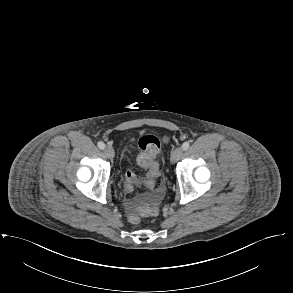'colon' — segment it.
<instances>
[{
  "label": "colon",
  "instance_id": "colon-1",
  "mask_svg": "<svg viewBox=\"0 0 293 293\" xmlns=\"http://www.w3.org/2000/svg\"><path fill=\"white\" fill-rule=\"evenodd\" d=\"M139 145L142 149V153L138 157L139 164L148 170L146 177L144 178V182L147 185H152L155 181V178L158 176V164L156 162V158L161 149L160 140L152 134H144L141 136L139 140ZM137 182L136 176L132 172L126 173V183L125 186L133 187ZM149 198H157L156 194L148 195ZM156 206H153L146 210L148 213H154L156 211ZM144 211L134 210L129 214V221L132 224H137L141 220V215Z\"/></svg>",
  "mask_w": 293,
  "mask_h": 293
}]
</instances>
